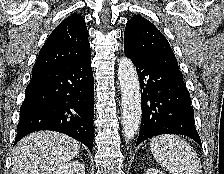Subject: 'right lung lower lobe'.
I'll list each match as a JSON object with an SVG mask.
<instances>
[{
    "instance_id": "98d812e1",
    "label": "right lung lower lobe",
    "mask_w": 224,
    "mask_h": 174,
    "mask_svg": "<svg viewBox=\"0 0 224 174\" xmlns=\"http://www.w3.org/2000/svg\"><path fill=\"white\" fill-rule=\"evenodd\" d=\"M94 81L91 58L32 72L20 107L17 143L39 130L67 134L92 152Z\"/></svg>"
}]
</instances>
